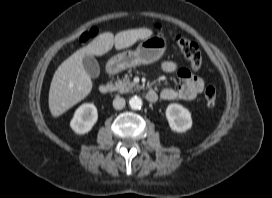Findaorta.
Instances as JSON below:
<instances>
[{
  "label": "aorta",
  "instance_id": "aorta-1",
  "mask_svg": "<svg viewBox=\"0 0 272 198\" xmlns=\"http://www.w3.org/2000/svg\"><path fill=\"white\" fill-rule=\"evenodd\" d=\"M142 100L140 97L134 96L129 100V105L131 107V109L133 110H138L141 109L142 107Z\"/></svg>",
  "mask_w": 272,
  "mask_h": 198
}]
</instances>
